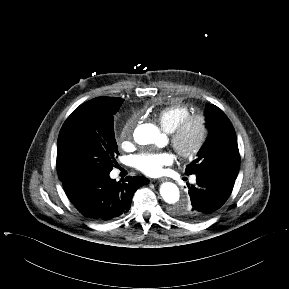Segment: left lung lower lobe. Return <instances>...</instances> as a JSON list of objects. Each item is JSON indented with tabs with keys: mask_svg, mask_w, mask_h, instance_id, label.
Masks as SVG:
<instances>
[{
	"mask_svg": "<svg viewBox=\"0 0 289 289\" xmlns=\"http://www.w3.org/2000/svg\"><path fill=\"white\" fill-rule=\"evenodd\" d=\"M235 179L217 172L196 174V184L188 185L191 203L186 210H181V217L196 222L214 214L228 199Z\"/></svg>",
	"mask_w": 289,
	"mask_h": 289,
	"instance_id": "left-lung-lower-lobe-1",
	"label": "left lung lower lobe"
}]
</instances>
